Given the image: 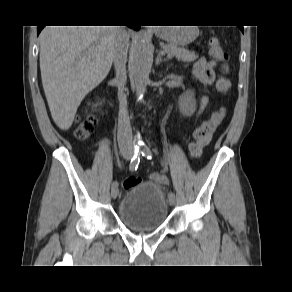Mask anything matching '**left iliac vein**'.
<instances>
[{"instance_id":"1","label":"left iliac vein","mask_w":292,"mask_h":292,"mask_svg":"<svg viewBox=\"0 0 292 292\" xmlns=\"http://www.w3.org/2000/svg\"><path fill=\"white\" fill-rule=\"evenodd\" d=\"M169 204L171 206H173L175 204V198L174 197L169 198Z\"/></svg>"}]
</instances>
